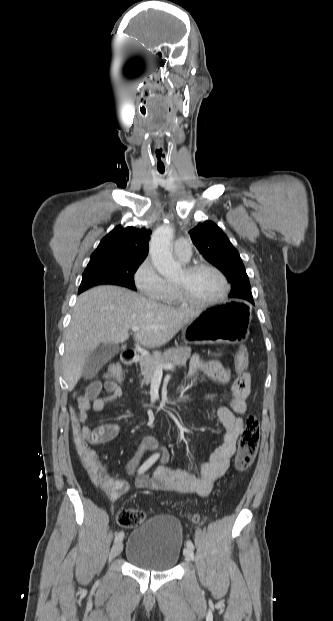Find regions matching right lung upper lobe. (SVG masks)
Instances as JSON below:
<instances>
[{
	"label": "right lung upper lobe",
	"instance_id": "cb5924a9",
	"mask_svg": "<svg viewBox=\"0 0 333 621\" xmlns=\"http://www.w3.org/2000/svg\"><path fill=\"white\" fill-rule=\"evenodd\" d=\"M151 231L132 226L115 227L105 236L92 253L90 262L104 260L144 261L146 258Z\"/></svg>",
	"mask_w": 333,
	"mask_h": 621
}]
</instances>
